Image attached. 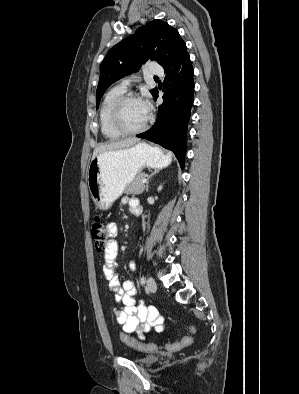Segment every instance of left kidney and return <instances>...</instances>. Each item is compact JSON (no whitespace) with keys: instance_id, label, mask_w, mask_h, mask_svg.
Masks as SVG:
<instances>
[{"instance_id":"5707ae66","label":"left kidney","mask_w":299,"mask_h":394,"mask_svg":"<svg viewBox=\"0 0 299 394\" xmlns=\"http://www.w3.org/2000/svg\"><path fill=\"white\" fill-rule=\"evenodd\" d=\"M162 190V186L160 185L159 187H158V191H161Z\"/></svg>"}]
</instances>
